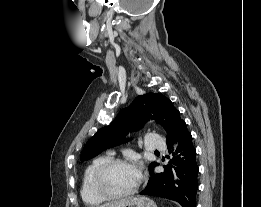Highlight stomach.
<instances>
[{"mask_svg":"<svg viewBox=\"0 0 261 207\" xmlns=\"http://www.w3.org/2000/svg\"><path fill=\"white\" fill-rule=\"evenodd\" d=\"M107 207H157L156 203L148 197H129L112 203Z\"/></svg>","mask_w":261,"mask_h":207,"instance_id":"stomach-1","label":"stomach"}]
</instances>
